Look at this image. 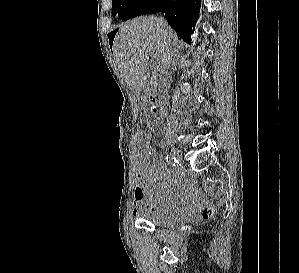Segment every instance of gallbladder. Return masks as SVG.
I'll use <instances>...</instances> for the list:
<instances>
[{"label":"gallbladder","mask_w":299,"mask_h":273,"mask_svg":"<svg viewBox=\"0 0 299 273\" xmlns=\"http://www.w3.org/2000/svg\"><path fill=\"white\" fill-rule=\"evenodd\" d=\"M145 73L147 75H149V74H155L156 73V65H155V63H153V62L149 63V65L147 66V68L145 70Z\"/></svg>","instance_id":"1"}]
</instances>
